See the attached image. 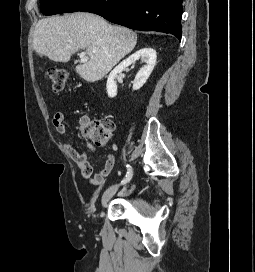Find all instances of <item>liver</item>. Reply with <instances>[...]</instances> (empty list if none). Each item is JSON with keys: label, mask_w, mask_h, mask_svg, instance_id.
Here are the masks:
<instances>
[{"label": "liver", "mask_w": 255, "mask_h": 272, "mask_svg": "<svg viewBox=\"0 0 255 272\" xmlns=\"http://www.w3.org/2000/svg\"><path fill=\"white\" fill-rule=\"evenodd\" d=\"M136 43L133 31L83 12L43 18L33 37L34 50L56 62H68L77 50H86L88 60L76 72L87 82L101 80Z\"/></svg>", "instance_id": "1"}]
</instances>
